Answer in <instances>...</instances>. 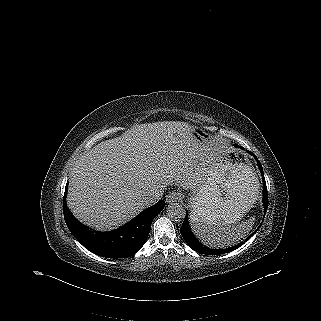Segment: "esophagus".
Masks as SVG:
<instances>
[{"instance_id":"1","label":"esophagus","mask_w":321,"mask_h":321,"mask_svg":"<svg viewBox=\"0 0 321 321\" xmlns=\"http://www.w3.org/2000/svg\"><path fill=\"white\" fill-rule=\"evenodd\" d=\"M180 193L179 192H176V191H173L171 193H169L167 196H166V202L168 204H172L174 202H177L180 200Z\"/></svg>"}]
</instances>
